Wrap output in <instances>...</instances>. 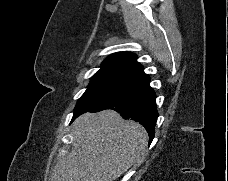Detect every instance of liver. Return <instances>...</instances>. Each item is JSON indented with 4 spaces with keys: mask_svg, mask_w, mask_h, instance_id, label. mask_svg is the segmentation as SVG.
I'll use <instances>...</instances> for the list:
<instances>
[{
    "mask_svg": "<svg viewBox=\"0 0 228 181\" xmlns=\"http://www.w3.org/2000/svg\"><path fill=\"white\" fill-rule=\"evenodd\" d=\"M72 127V149L60 159L51 181H116L145 159L148 133L116 111L85 113Z\"/></svg>",
    "mask_w": 228,
    "mask_h": 181,
    "instance_id": "obj_1",
    "label": "liver"
}]
</instances>
